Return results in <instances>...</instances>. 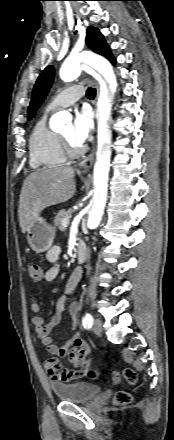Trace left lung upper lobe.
<instances>
[{
  "label": "left lung upper lobe",
  "instance_id": "5c2ea615",
  "mask_svg": "<svg viewBox=\"0 0 174 440\" xmlns=\"http://www.w3.org/2000/svg\"><path fill=\"white\" fill-rule=\"evenodd\" d=\"M86 44L94 52L111 59L113 57L111 50L104 40L103 35L97 28L88 27L86 35ZM54 79V67H46L38 77L33 89L32 99L28 108V120L32 118L36 110L44 101Z\"/></svg>",
  "mask_w": 174,
  "mask_h": 440
}]
</instances>
